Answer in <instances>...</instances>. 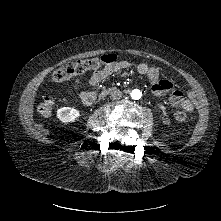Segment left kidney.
Listing matches in <instances>:
<instances>
[{
    "label": "left kidney",
    "instance_id": "left-kidney-1",
    "mask_svg": "<svg viewBox=\"0 0 221 221\" xmlns=\"http://www.w3.org/2000/svg\"><path fill=\"white\" fill-rule=\"evenodd\" d=\"M159 107H160L163 111H165V109H166L165 106H163V105H160Z\"/></svg>",
    "mask_w": 221,
    "mask_h": 221
}]
</instances>
